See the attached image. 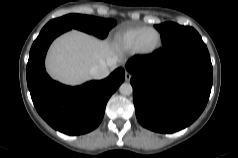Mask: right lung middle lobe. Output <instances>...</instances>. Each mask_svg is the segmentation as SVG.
Returning <instances> with one entry per match:
<instances>
[{
  "instance_id": "1",
  "label": "right lung middle lobe",
  "mask_w": 238,
  "mask_h": 158,
  "mask_svg": "<svg viewBox=\"0 0 238 158\" xmlns=\"http://www.w3.org/2000/svg\"><path fill=\"white\" fill-rule=\"evenodd\" d=\"M116 25L113 19H102L98 17L69 14L49 21L42 30L49 28L78 29L100 38H105L109 30Z\"/></svg>"
}]
</instances>
